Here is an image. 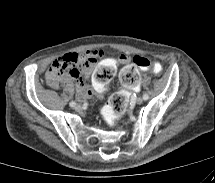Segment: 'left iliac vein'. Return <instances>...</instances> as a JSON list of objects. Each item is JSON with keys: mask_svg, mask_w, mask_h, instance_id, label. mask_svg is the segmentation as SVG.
Wrapping results in <instances>:
<instances>
[{"mask_svg": "<svg viewBox=\"0 0 215 183\" xmlns=\"http://www.w3.org/2000/svg\"><path fill=\"white\" fill-rule=\"evenodd\" d=\"M143 98L142 97H138L137 99H136V103L137 104H142L143 103Z\"/></svg>", "mask_w": 215, "mask_h": 183, "instance_id": "left-iliac-vein-1", "label": "left iliac vein"}]
</instances>
